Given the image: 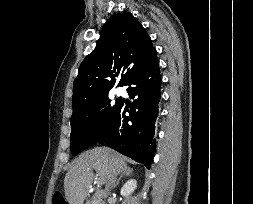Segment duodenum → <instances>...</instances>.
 Instances as JSON below:
<instances>
[{"instance_id": "duodenum-1", "label": "duodenum", "mask_w": 253, "mask_h": 204, "mask_svg": "<svg viewBox=\"0 0 253 204\" xmlns=\"http://www.w3.org/2000/svg\"><path fill=\"white\" fill-rule=\"evenodd\" d=\"M95 196L96 197H104L105 196V192H96Z\"/></svg>"}]
</instances>
